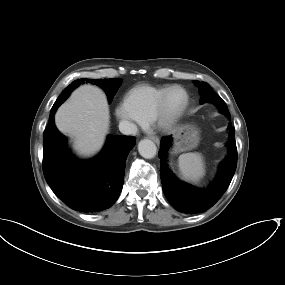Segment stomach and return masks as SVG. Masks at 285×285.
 I'll list each match as a JSON object with an SVG mask.
<instances>
[{
    "instance_id": "0dacf381",
    "label": "stomach",
    "mask_w": 285,
    "mask_h": 285,
    "mask_svg": "<svg viewBox=\"0 0 285 285\" xmlns=\"http://www.w3.org/2000/svg\"><path fill=\"white\" fill-rule=\"evenodd\" d=\"M174 153L184 152L195 148L199 142V131L191 124H185L174 130Z\"/></svg>"
}]
</instances>
